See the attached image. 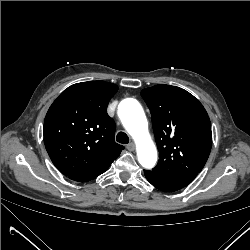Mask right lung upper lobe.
Listing matches in <instances>:
<instances>
[{
  "label": "right lung upper lobe",
  "instance_id": "obj_1",
  "mask_svg": "<svg viewBox=\"0 0 250 250\" xmlns=\"http://www.w3.org/2000/svg\"><path fill=\"white\" fill-rule=\"evenodd\" d=\"M117 85L89 81L71 85L49 108L44 143L53 164L70 179L109 167L124 149L114 140L106 109Z\"/></svg>",
  "mask_w": 250,
  "mask_h": 250
}]
</instances>
